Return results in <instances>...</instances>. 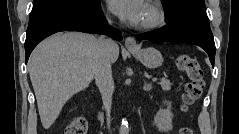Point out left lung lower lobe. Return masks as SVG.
I'll return each instance as SVG.
<instances>
[{
	"instance_id": "0a47b994",
	"label": "left lung lower lobe",
	"mask_w": 239,
	"mask_h": 134,
	"mask_svg": "<svg viewBox=\"0 0 239 134\" xmlns=\"http://www.w3.org/2000/svg\"><path fill=\"white\" fill-rule=\"evenodd\" d=\"M136 38L151 42L175 41L198 45L208 53L214 66L216 48L204 8L188 7L163 28L137 34Z\"/></svg>"
}]
</instances>
